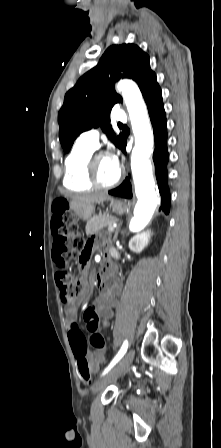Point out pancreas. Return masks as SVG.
Masks as SVG:
<instances>
[{
  "instance_id": "1",
  "label": "pancreas",
  "mask_w": 221,
  "mask_h": 448,
  "mask_svg": "<svg viewBox=\"0 0 221 448\" xmlns=\"http://www.w3.org/2000/svg\"><path fill=\"white\" fill-rule=\"evenodd\" d=\"M118 219L108 214H100L95 216L91 221L88 222L86 226V234L91 235L98 232L99 230L109 227L116 223ZM95 222V225L93 224Z\"/></svg>"
}]
</instances>
